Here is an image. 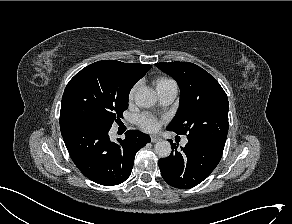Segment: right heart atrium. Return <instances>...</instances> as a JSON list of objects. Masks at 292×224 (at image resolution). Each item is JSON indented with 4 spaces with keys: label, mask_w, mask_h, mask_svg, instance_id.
Returning a JSON list of instances; mask_svg holds the SVG:
<instances>
[{
    "label": "right heart atrium",
    "mask_w": 292,
    "mask_h": 224,
    "mask_svg": "<svg viewBox=\"0 0 292 224\" xmlns=\"http://www.w3.org/2000/svg\"><path fill=\"white\" fill-rule=\"evenodd\" d=\"M138 87H139V84L137 83V84H135V85L130 89L129 94H128V99H129V101H132V100H133V98H134V96H135V94H136V91H137Z\"/></svg>",
    "instance_id": "obj_1"
}]
</instances>
